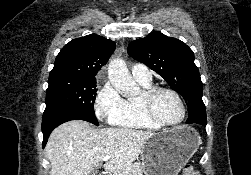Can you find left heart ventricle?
I'll use <instances>...</instances> for the list:
<instances>
[{
	"instance_id": "b2bd125f",
	"label": "left heart ventricle",
	"mask_w": 251,
	"mask_h": 175,
	"mask_svg": "<svg viewBox=\"0 0 251 175\" xmlns=\"http://www.w3.org/2000/svg\"><path fill=\"white\" fill-rule=\"evenodd\" d=\"M153 109L157 117L169 125L179 123L183 116V110L179 100L169 91H162L156 95L153 100Z\"/></svg>"
}]
</instances>
